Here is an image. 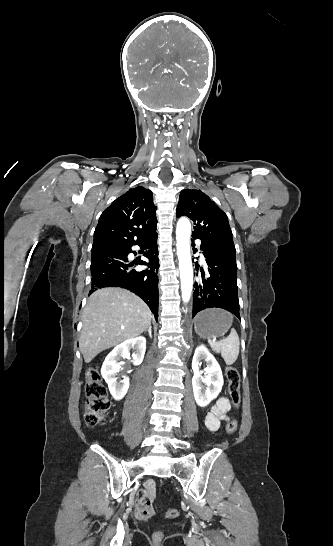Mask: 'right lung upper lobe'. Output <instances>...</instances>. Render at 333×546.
<instances>
[{"label": "right lung upper lobe", "instance_id": "right-lung-upper-lobe-1", "mask_svg": "<svg viewBox=\"0 0 333 546\" xmlns=\"http://www.w3.org/2000/svg\"><path fill=\"white\" fill-rule=\"evenodd\" d=\"M156 224L151 190L141 186L129 189L101 214L93 246L112 241L141 240L156 232Z\"/></svg>", "mask_w": 333, "mask_h": 546}]
</instances>
